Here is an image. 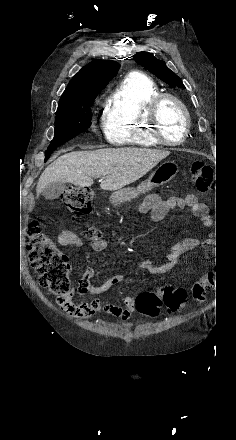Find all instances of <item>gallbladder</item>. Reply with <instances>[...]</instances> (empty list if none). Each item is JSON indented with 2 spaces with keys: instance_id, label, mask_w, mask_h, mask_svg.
<instances>
[{
  "instance_id": "gallbladder-1",
  "label": "gallbladder",
  "mask_w": 236,
  "mask_h": 440,
  "mask_svg": "<svg viewBox=\"0 0 236 440\" xmlns=\"http://www.w3.org/2000/svg\"><path fill=\"white\" fill-rule=\"evenodd\" d=\"M67 184L65 182H53L47 185L42 191V196L46 200H55L65 191Z\"/></svg>"
}]
</instances>
